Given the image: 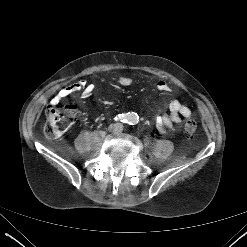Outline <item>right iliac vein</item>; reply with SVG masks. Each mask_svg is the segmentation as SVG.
Segmentation results:
<instances>
[{
	"mask_svg": "<svg viewBox=\"0 0 247 247\" xmlns=\"http://www.w3.org/2000/svg\"><path fill=\"white\" fill-rule=\"evenodd\" d=\"M110 130H114V127H111Z\"/></svg>",
	"mask_w": 247,
	"mask_h": 247,
	"instance_id": "obj_1",
	"label": "right iliac vein"
}]
</instances>
